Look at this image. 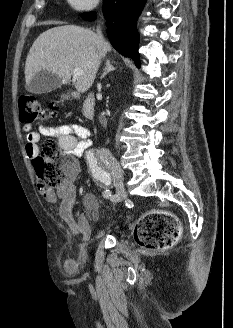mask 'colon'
Returning a JSON list of instances; mask_svg holds the SVG:
<instances>
[{
	"instance_id": "colon-1",
	"label": "colon",
	"mask_w": 233,
	"mask_h": 328,
	"mask_svg": "<svg viewBox=\"0 0 233 328\" xmlns=\"http://www.w3.org/2000/svg\"><path fill=\"white\" fill-rule=\"evenodd\" d=\"M18 106L20 120L24 124L55 118L58 115L53 106H42L35 96L27 93L19 96ZM33 165L43 186L50 189L59 187L75 174L74 163L63 159L57 143L53 140L42 144ZM180 235V222L166 211L146 213L138 220L134 229L137 244L151 251L172 247L178 242Z\"/></svg>"
}]
</instances>
